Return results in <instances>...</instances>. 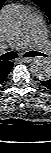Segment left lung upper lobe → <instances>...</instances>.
Wrapping results in <instances>:
<instances>
[{
	"mask_svg": "<svg viewBox=\"0 0 51 153\" xmlns=\"http://www.w3.org/2000/svg\"><path fill=\"white\" fill-rule=\"evenodd\" d=\"M32 1L46 12L51 22V0H32Z\"/></svg>",
	"mask_w": 51,
	"mask_h": 153,
	"instance_id": "5c2ea615",
	"label": "left lung upper lobe"
}]
</instances>
